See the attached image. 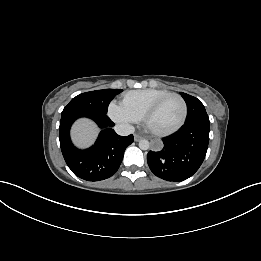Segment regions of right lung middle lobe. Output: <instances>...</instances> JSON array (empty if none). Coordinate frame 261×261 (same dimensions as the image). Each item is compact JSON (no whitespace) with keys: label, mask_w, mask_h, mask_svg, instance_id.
I'll return each instance as SVG.
<instances>
[{"label":"right lung middle lobe","mask_w":261,"mask_h":261,"mask_svg":"<svg viewBox=\"0 0 261 261\" xmlns=\"http://www.w3.org/2000/svg\"><path fill=\"white\" fill-rule=\"evenodd\" d=\"M121 89H104L82 93L74 97L64 109H76L106 115L108 105Z\"/></svg>","instance_id":"obj_1"}]
</instances>
